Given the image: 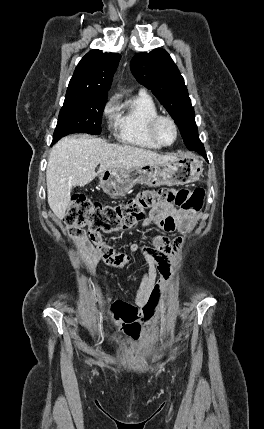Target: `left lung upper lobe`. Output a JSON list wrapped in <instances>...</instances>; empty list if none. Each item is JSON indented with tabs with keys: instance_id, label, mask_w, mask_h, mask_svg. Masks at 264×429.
I'll use <instances>...</instances> for the list:
<instances>
[{
	"instance_id": "5c2ea615",
	"label": "left lung upper lobe",
	"mask_w": 264,
	"mask_h": 429,
	"mask_svg": "<svg viewBox=\"0 0 264 429\" xmlns=\"http://www.w3.org/2000/svg\"><path fill=\"white\" fill-rule=\"evenodd\" d=\"M130 67L137 81L150 89L173 117L186 147L204 150L184 79L170 55L159 48L150 53H138Z\"/></svg>"
}]
</instances>
